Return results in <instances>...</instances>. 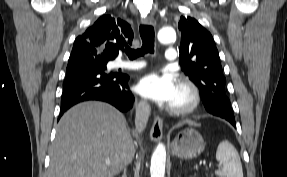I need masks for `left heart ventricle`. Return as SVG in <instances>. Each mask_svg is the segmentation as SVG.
Returning <instances> with one entry per match:
<instances>
[{
	"mask_svg": "<svg viewBox=\"0 0 287 177\" xmlns=\"http://www.w3.org/2000/svg\"><path fill=\"white\" fill-rule=\"evenodd\" d=\"M183 100H184V95L178 88L169 104H178V103H181Z\"/></svg>",
	"mask_w": 287,
	"mask_h": 177,
	"instance_id": "1",
	"label": "left heart ventricle"
}]
</instances>
